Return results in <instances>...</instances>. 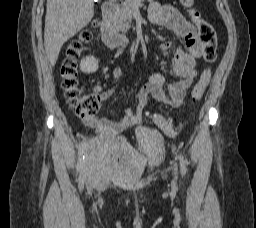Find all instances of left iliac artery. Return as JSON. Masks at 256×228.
<instances>
[{"label":"left iliac artery","mask_w":256,"mask_h":228,"mask_svg":"<svg viewBox=\"0 0 256 228\" xmlns=\"http://www.w3.org/2000/svg\"><path fill=\"white\" fill-rule=\"evenodd\" d=\"M179 159H180L181 172L184 175L186 173V164H187V162L184 159L182 154L179 155Z\"/></svg>","instance_id":"44dca946"}]
</instances>
